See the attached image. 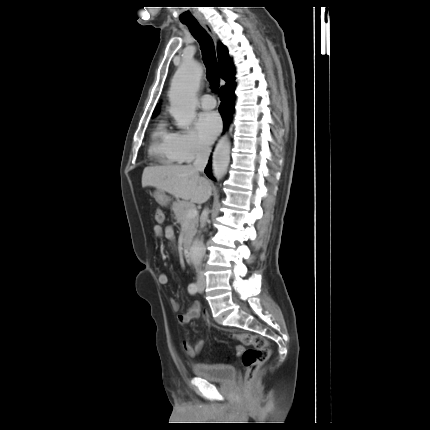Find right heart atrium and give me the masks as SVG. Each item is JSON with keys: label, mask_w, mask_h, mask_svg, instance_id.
<instances>
[{"label": "right heart atrium", "mask_w": 430, "mask_h": 430, "mask_svg": "<svg viewBox=\"0 0 430 430\" xmlns=\"http://www.w3.org/2000/svg\"><path fill=\"white\" fill-rule=\"evenodd\" d=\"M172 144L181 162H191L209 153V147L199 140L197 134L191 128L174 132Z\"/></svg>", "instance_id": "right-heart-atrium-1"}]
</instances>
